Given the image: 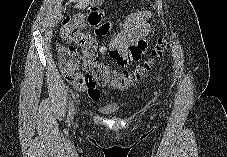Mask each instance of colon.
<instances>
[{"label":"colon","instance_id":"colon-1","mask_svg":"<svg viewBox=\"0 0 227 157\" xmlns=\"http://www.w3.org/2000/svg\"><path fill=\"white\" fill-rule=\"evenodd\" d=\"M91 16H101V14L93 9L90 19ZM60 34L64 40L74 43L81 49L79 54L72 46L58 44L56 47L62 73L73 86L79 82L80 68H82L86 73L85 80L91 85H108L117 89H126L135 78L144 75L153 64L154 59H150L140 64L133 74L119 73L111 70L106 63L99 61L97 57L99 40L96 34L75 28L68 19L62 22ZM166 47L167 42L160 39L153 50V56H162Z\"/></svg>","mask_w":227,"mask_h":157}]
</instances>
